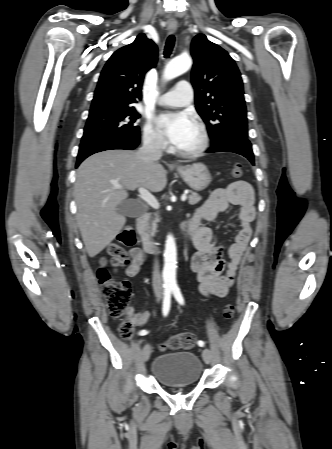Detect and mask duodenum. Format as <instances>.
I'll list each match as a JSON object with an SVG mask.
<instances>
[{"instance_id": "1", "label": "duodenum", "mask_w": 332, "mask_h": 449, "mask_svg": "<svg viewBox=\"0 0 332 449\" xmlns=\"http://www.w3.org/2000/svg\"><path fill=\"white\" fill-rule=\"evenodd\" d=\"M148 220V214L144 212L136 218V228L141 235L142 247L146 252L156 251V242L152 236L146 230V223ZM182 231L185 235L189 236L192 233L191 223L189 220L185 221L182 225Z\"/></svg>"}]
</instances>
